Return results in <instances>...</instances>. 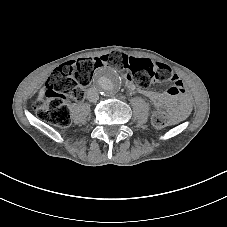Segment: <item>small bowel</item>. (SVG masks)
<instances>
[{
    "mask_svg": "<svg viewBox=\"0 0 227 227\" xmlns=\"http://www.w3.org/2000/svg\"><path fill=\"white\" fill-rule=\"evenodd\" d=\"M141 92L152 101L157 110L169 107V102L164 94L146 89H142ZM174 112L178 117H183L188 114L189 103L186 98L181 100L179 108L175 109Z\"/></svg>",
    "mask_w": 227,
    "mask_h": 227,
    "instance_id": "obj_1",
    "label": "small bowel"
}]
</instances>
